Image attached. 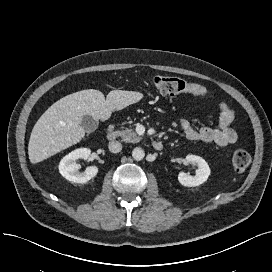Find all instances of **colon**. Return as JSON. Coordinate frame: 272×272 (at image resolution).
Returning <instances> with one entry per match:
<instances>
[{
	"mask_svg": "<svg viewBox=\"0 0 272 272\" xmlns=\"http://www.w3.org/2000/svg\"><path fill=\"white\" fill-rule=\"evenodd\" d=\"M149 85L163 95H177L181 93H190L199 96L207 95V90L197 84L189 83L183 79L158 75L153 77ZM251 162L250 154L243 149H238L233 153L232 164L236 171H244Z\"/></svg>",
	"mask_w": 272,
	"mask_h": 272,
	"instance_id": "obj_1",
	"label": "colon"
}]
</instances>
